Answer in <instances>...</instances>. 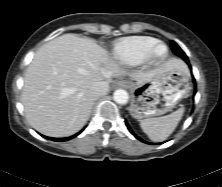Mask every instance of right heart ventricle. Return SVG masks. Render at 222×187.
I'll return each instance as SVG.
<instances>
[{
  "label": "right heart ventricle",
  "mask_w": 222,
  "mask_h": 187,
  "mask_svg": "<svg viewBox=\"0 0 222 187\" xmlns=\"http://www.w3.org/2000/svg\"><path fill=\"white\" fill-rule=\"evenodd\" d=\"M155 42V38L148 36L123 38L113 44L112 56L122 65L134 66L143 62L148 49Z\"/></svg>",
  "instance_id": "right-heart-ventricle-1"
}]
</instances>
